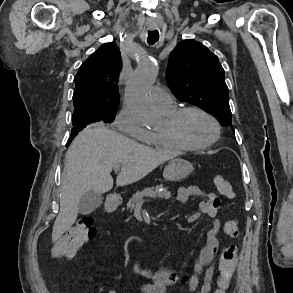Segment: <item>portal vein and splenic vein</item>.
<instances>
[{"instance_id":"18ae733b","label":"portal vein and splenic vein","mask_w":293,"mask_h":293,"mask_svg":"<svg viewBox=\"0 0 293 293\" xmlns=\"http://www.w3.org/2000/svg\"><path fill=\"white\" fill-rule=\"evenodd\" d=\"M115 171H119L120 170V166H117L114 168Z\"/></svg>"}]
</instances>
